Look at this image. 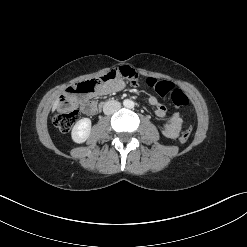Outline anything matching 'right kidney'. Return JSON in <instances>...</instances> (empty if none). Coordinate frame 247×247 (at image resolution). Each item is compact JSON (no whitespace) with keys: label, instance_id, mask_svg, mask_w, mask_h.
<instances>
[{"label":"right kidney","instance_id":"1","mask_svg":"<svg viewBox=\"0 0 247 247\" xmlns=\"http://www.w3.org/2000/svg\"><path fill=\"white\" fill-rule=\"evenodd\" d=\"M91 133V120L83 118L79 120L73 127L71 136L75 143L85 142Z\"/></svg>","mask_w":247,"mask_h":247}]
</instances>
